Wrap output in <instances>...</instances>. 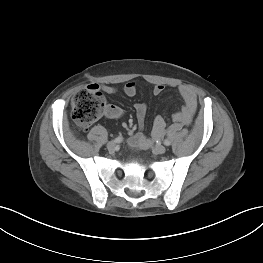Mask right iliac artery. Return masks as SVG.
Listing matches in <instances>:
<instances>
[{"label":"right iliac artery","instance_id":"obj_1","mask_svg":"<svg viewBox=\"0 0 263 263\" xmlns=\"http://www.w3.org/2000/svg\"><path fill=\"white\" fill-rule=\"evenodd\" d=\"M122 140H123V137H122V136H118V137L115 138L113 141H114L115 143H120V142H122Z\"/></svg>","mask_w":263,"mask_h":263}]
</instances>
